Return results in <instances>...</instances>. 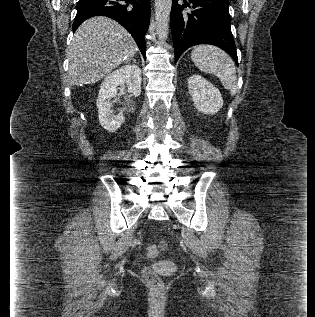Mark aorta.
Returning a JSON list of instances; mask_svg holds the SVG:
<instances>
[{
  "label": "aorta",
  "mask_w": 315,
  "mask_h": 317,
  "mask_svg": "<svg viewBox=\"0 0 315 317\" xmlns=\"http://www.w3.org/2000/svg\"><path fill=\"white\" fill-rule=\"evenodd\" d=\"M172 0H155L156 32L161 41L168 37Z\"/></svg>",
  "instance_id": "aorta-1"
}]
</instances>
